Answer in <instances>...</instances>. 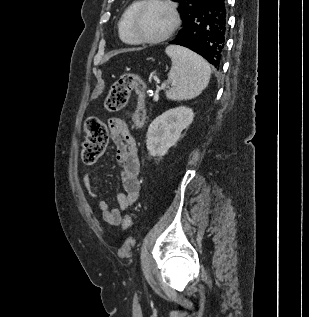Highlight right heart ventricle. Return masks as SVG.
I'll return each instance as SVG.
<instances>
[{
  "label": "right heart ventricle",
  "instance_id": "e07e8e85",
  "mask_svg": "<svg viewBox=\"0 0 309 317\" xmlns=\"http://www.w3.org/2000/svg\"><path fill=\"white\" fill-rule=\"evenodd\" d=\"M141 3L140 0H135L133 1L127 9L124 11L122 14L119 24H118V29H119V36L122 41H124L127 44H137L138 41L134 37L131 29V18L132 15L137 8V6Z\"/></svg>",
  "mask_w": 309,
  "mask_h": 317
}]
</instances>
